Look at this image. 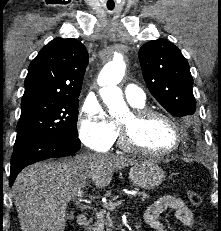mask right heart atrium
Wrapping results in <instances>:
<instances>
[{"instance_id":"obj_1","label":"right heart atrium","mask_w":221,"mask_h":231,"mask_svg":"<svg viewBox=\"0 0 221 231\" xmlns=\"http://www.w3.org/2000/svg\"><path fill=\"white\" fill-rule=\"evenodd\" d=\"M78 130L81 142L96 151L109 149L117 137L116 123L104 106L91 97L85 99L80 109Z\"/></svg>"}]
</instances>
